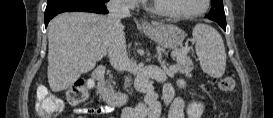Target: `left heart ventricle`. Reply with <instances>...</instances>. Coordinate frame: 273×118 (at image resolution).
Here are the masks:
<instances>
[{"label": "left heart ventricle", "mask_w": 273, "mask_h": 118, "mask_svg": "<svg viewBox=\"0 0 273 118\" xmlns=\"http://www.w3.org/2000/svg\"><path fill=\"white\" fill-rule=\"evenodd\" d=\"M159 8L177 13H191L203 7V0H158Z\"/></svg>", "instance_id": "obj_1"}]
</instances>
